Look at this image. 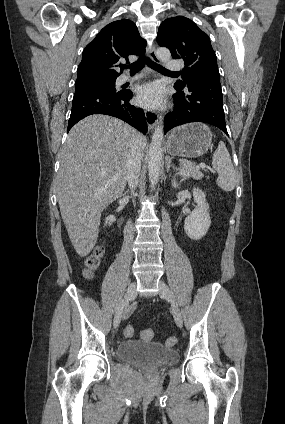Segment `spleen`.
I'll use <instances>...</instances> for the list:
<instances>
[{
  "instance_id": "3e777b00",
  "label": "spleen",
  "mask_w": 285,
  "mask_h": 424,
  "mask_svg": "<svg viewBox=\"0 0 285 424\" xmlns=\"http://www.w3.org/2000/svg\"><path fill=\"white\" fill-rule=\"evenodd\" d=\"M212 166L218 173L217 185L224 191L234 190L237 183L236 171L225 144L220 141L212 157Z\"/></svg>"
}]
</instances>
